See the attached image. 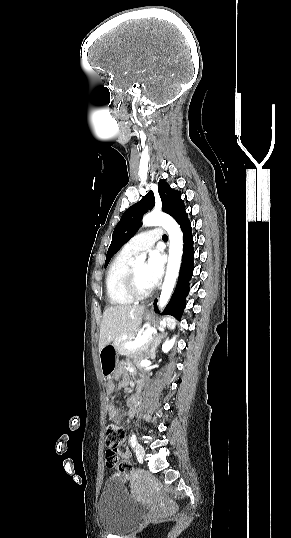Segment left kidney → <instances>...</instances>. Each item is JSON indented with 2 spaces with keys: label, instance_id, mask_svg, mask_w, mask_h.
<instances>
[{
  "label": "left kidney",
  "instance_id": "1",
  "mask_svg": "<svg viewBox=\"0 0 291 538\" xmlns=\"http://www.w3.org/2000/svg\"><path fill=\"white\" fill-rule=\"evenodd\" d=\"M175 341H176V336H174L172 339H167L162 345V351L164 353H167L168 351H170Z\"/></svg>",
  "mask_w": 291,
  "mask_h": 538
}]
</instances>
